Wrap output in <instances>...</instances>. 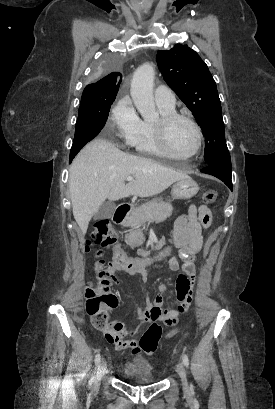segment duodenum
<instances>
[{
	"instance_id": "410a0bca",
	"label": "duodenum",
	"mask_w": 275,
	"mask_h": 409,
	"mask_svg": "<svg viewBox=\"0 0 275 409\" xmlns=\"http://www.w3.org/2000/svg\"><path fill=\"white\" fill-rule=\"evenodd\" d=\"M130 211L131 206L129 204L127 203L120 204L113 215V221L116 224H123L126 221Z\"/></svg>"
}]
</instances>
